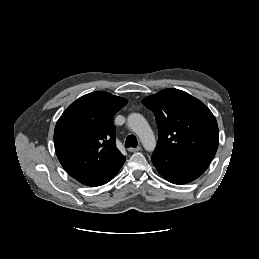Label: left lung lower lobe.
I'll return each mask as SVG.
<instances>
[{
    "mask_svg": "<svg viewBox=\"0 0 259 259\" xmlns=\"http://www.w3.org/2000/svg\"><path fill=\"white\" fill-rule=\"evenodd\" d=\"M151 160L158 172L169 182L185 184L202 175L211 160L204 158H185L174 156L160 149H155Z\"/></svg>",
    "mask_w": 259,
    "mask_h": 259,
    "instance_id": "1",
    "label": "left lung lower lobe"
}]
</instances>
